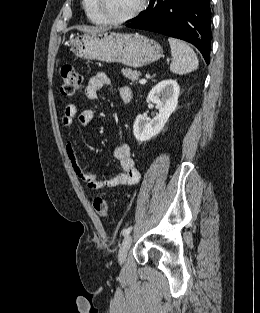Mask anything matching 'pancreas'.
Listing matches in <instances>:
<instances>
[{"instance_id":"pancreas-1","label":"pancreas","mask_w":260,"mask_h":313,"mask_svg":"<svg viewBox=\"0 0 260 313\" xmlns=\"http://www.w3.org/2000/svg\"><path fill=\"white\" fill-rule=\"evenodd\" d=\"M122 74L124 77L128 78L131 81V85L141 76L139 71H133L129 68L122 69Z\"/></svg>"}]
</instances>
